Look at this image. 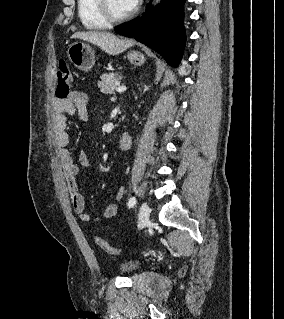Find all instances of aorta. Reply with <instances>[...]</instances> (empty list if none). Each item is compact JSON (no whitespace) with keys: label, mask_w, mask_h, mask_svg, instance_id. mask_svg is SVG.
Segmentation results:
<instances>
[{"label":"aorta","mask_w":284,"mask_h":319,"mask_svg":"<svg viewBox=\"0 0 284 319\" xmlns=\"http://www.w3.org/2000/svg\"><path fill=\"white\" fill-rule=\"evenodd\" d=\"M160 2V0H156V3H159Z\"/></svg>","instance_id":"obj_1"}]
</instances>
